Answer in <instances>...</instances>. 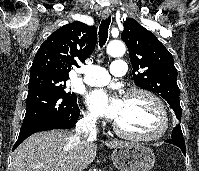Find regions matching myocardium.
Returning <instances> with one entry per match:
<instances>
[{
  "mask_svg": "<svg viewBox=\"0 0 199 171\" xmlns=\"http://www.w3.org/2000/svg\"><path fill=\"white\" fill-rule=\"evenodd\" d=\"M135 94L145 95L154 103L161 119V126L159 130L155 134L151 135L130 133L123 130L115 121L113 123L114 131L122 137L137 141H155L161 139L167 133L169 128V115L165 104L154 92L143 87H133L128 89L124 94V98H128L129 96Z\"/></svg>",
  "mask_w": 199,
  "mask_h": 171,
  "instance_id": "1",
  "label": "myocardium"
}]
</instances>
